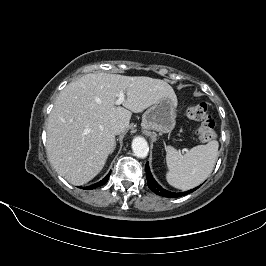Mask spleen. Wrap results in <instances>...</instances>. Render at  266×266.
I'll return each instance as SVG.
<instances>
[{
	"mask_svg": "<svg viewBox=\"0 0 266 266\" xmlns=\"http://www.w3.org/2000/svg\"><path fill=\"white\" fill-rule=\"evenodd\" d=\"M218 147L216 140L195 146L185 154H181L174 147H165L167 182L184 191L201 184L213 171L218 158Z\"/></svg>",
	"mask_w": 266,
	"mask_h": 266,
	"instance_id": "obj_1",
	"label": "spleen"
}]
</instances>
